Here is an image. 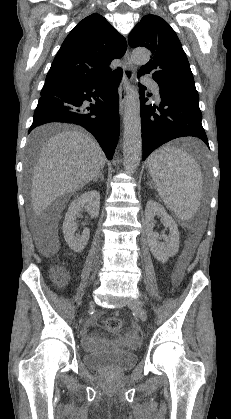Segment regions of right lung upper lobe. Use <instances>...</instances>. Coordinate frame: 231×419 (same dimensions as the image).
<instances>
[{
  "instance_id": "obj_1",
  "label": "right lung upper lobe",
  "mask_w": 231,
  "mask_h": 419,
  "mask_svg": "<svg viewBox=\"0 0 231 419\" xmlns=\"http://www.w3.org/2000/svg\"><path fill=\"white\" fill-rule=\"evenodd\" d=\"M127 49L125 38L107 20L94 13L69 33L56 54L44 87H65L96 81L116 72L111 61L121 58Z\"/></svg>"
}]
</instances>
